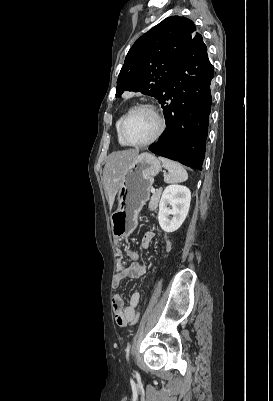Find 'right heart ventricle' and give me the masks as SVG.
<instances>
[{"instance_id": "obj_1", "label": "right heart ventricle", "mask_w": 273, "mask_h": 401, "mask_svg": "<svg viewBox=\"0 0 273 401\" xmlns=\"http://www.w3.org/2000/svg\"><path fill=\"white\" fill-rule=\"evenodd\" d=\"M129 110H130V106L124 105L122 107L117 119H116V122H115V131H116V136H117V139H118V143L123 147H126L127 145L125 143H123L122 140L120 139V136H119V125H120V122H121L122 118L125 116V114Z\"/></svg>"}]
</instances>
